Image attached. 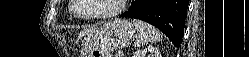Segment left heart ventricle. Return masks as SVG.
I'll list each match as a JSON object with an SVG mask.
<instances>
[{
	"mask_svg": "<svg viewBox=\"0 0 249 57\" xmlns=\"http://www.w3.org/2000/svg\"><path fill=\"white\" fill-rule=\"evenodd\" d=\"M82 7L79 13L82 15H91L98 13H105L114 10L119 0H81Z\"/></svg>",
	"mask_w": 249,
	"mask_h": 57,
	"instance_id": "left-heart-ventricle-1",
	"label": "left heart ventricle"
}]
</instances>
